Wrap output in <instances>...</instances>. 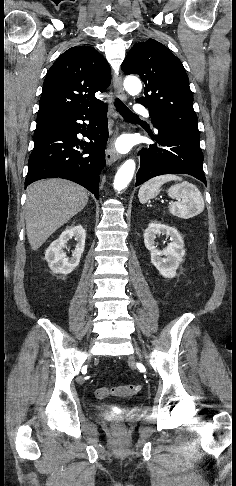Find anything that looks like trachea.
I'll return each instance as SVG.
<instances>
[{
    "label": "trachea",
    "instance_id": "trachea-1",
    "mask_svg": "<svg viewBox=\"0 0 236 486\" xmlns=\"http://www.w3.org/2000/svg\"><path fill=\"white\" fill-rule=\"evenodd\" d=\"M114 105L116 107V110L126 119V120H137L139 117L134 114L132 111H130L124 103L119 100L115 99Z\"/></svg>",
    "mask_w": 236,
    "mask_h": 486
}]
</instances>
